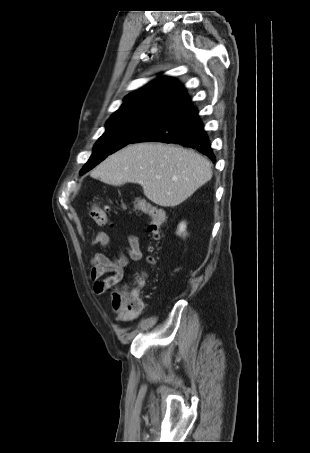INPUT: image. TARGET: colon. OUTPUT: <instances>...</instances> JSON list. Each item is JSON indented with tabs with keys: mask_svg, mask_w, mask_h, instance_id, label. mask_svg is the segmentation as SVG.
<instances>
[{
	"mask_svg": "<svg viewBox=\"0 0 310 453\" xmlns=\"http://www.w3.org/2000/svg\"><path fill=\"white\" fill-rule=\"evenodd\" d=\"M132 206L137 213L145 215L148 218L150 237L154 240H159L162 237L166 220L163 210L143 198H135ZM108 211L109 206L100 202H93L90 206V216L98 226H105L108 223ZM153 250L154 248L150 246L149 251L153 252ZM147 260L148 262H153L154 257L149 255ZM134 280L137 284L136 287L116 288L113 292L112 304L114 310L126 317L138 316L145 308V304L139 296V286L144 281V273H136Z\"/></svg>",
	"mask_w": 310,
	"mask_h": 453,
	"instance_id": "colon-1",
	"label": "colon"
}]
</instances>
